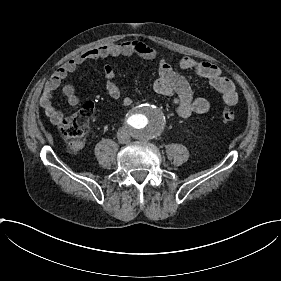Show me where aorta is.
I'll use <instances>...</instances> for the list:
<instances>
[{
    "instance_id": "obj_1",
    "label": "aorta",
    "mask_w": 281,
    "mask_h": 281,
    "mask_svg": "<svg viewBox=\"0 0 281 281\" xmlns=\"http://www.w3.org/2000/svg\"><path fill=\"white\" fill-rule=\"evenodd\" d=\"M127 124L136 138L151 139L164 130L166 117L157 106L151 103H142L130 111Z\"/></svg>"
}]
</instances>
